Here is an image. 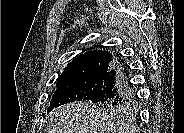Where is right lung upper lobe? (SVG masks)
Masks as SVG:
<instances>
[{
    "mask_svg": "<svg viewBox=\"0 0 184 133\" xmlns=\"http://www.w3.org/2000/svg\"><path fill=\"white\" fill-rule=\"evenodd\" d=\"M113 58V54L108 51H88L76 56L67 67L64 68L63 73L57 80L84 77L93 74H104L108 71Z\"/></svg>",
    "mask_w": 184,
    "mask_h": 133,
    "instance_id": "1",
    "label": "right lung upper lobe"
}]
</instances>
